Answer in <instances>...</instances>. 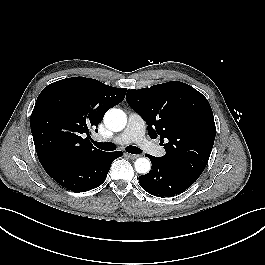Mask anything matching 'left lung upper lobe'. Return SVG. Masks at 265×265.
<instances>
[{
  "instance_id": "1",
  "label": "left lung upper lobe",
  "mask_w": 265,
  "mask_h": 265,
  "mask_svg": "<svg viewBox=\"0 0 265 265\" xmlns=\"http://www.w3.org/2000/svg\"><path fill=\"white\" fill-rule=\"evenodd\" d=\"M126 101L147 123L151 138L160 135L166 154L160 160L198 178L209 160L216 127L211 106L196 89L171 81L128 90Z\"/></svg>"
}]
</instances>
